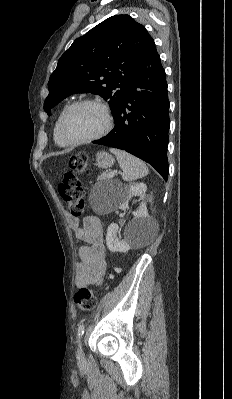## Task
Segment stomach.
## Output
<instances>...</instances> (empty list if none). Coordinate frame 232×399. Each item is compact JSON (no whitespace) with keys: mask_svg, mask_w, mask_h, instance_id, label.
Returning <instances> with one entry per match:
<instances>
[{"mask_svg":"<svg viewBox=\"0 0 232 399\" xmlns=\"http://www.w3.org/2000/svg\"><path fill=\"white\" fill-rule=\"evenodd\" d=\"M115 162V158L107 154V152H97L96 154V166L98 168H111Z\"/></svg>","mask_w":232,"mask_h":399,"instance_id":"1","label":"stomach"}]
</instances>
